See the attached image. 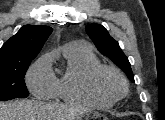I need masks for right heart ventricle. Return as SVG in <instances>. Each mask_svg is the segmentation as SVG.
Returning a JSON list of instances; mask_svg holds the SVG:
<instances>
[{"instance_id":"right-heart-ventricle-1","label":"right heart ventricle","mask_w":165,"mask_h":120,"mask_svg":"<svg viewBox=\"0 0 165 120\" xmlns=\"http://www.w3.org/2000/svg\"><path fill=\"white\" fill-rule=\"evenodd\" d=\"M64 69L55 78L53 97L69 104L109 107L113 103L93 97L87 89L89 72L100 64L98 57L87 47L67 46L63 52Z\"/></svg>"}]
</instances>
